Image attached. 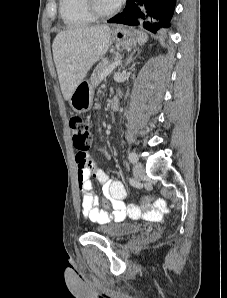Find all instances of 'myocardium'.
I'll use <instances>...</instances> for the list:
<instances>
[{
    "mask_svg": "<svg viewBox=\"0 0 227 298\" xmlns=\"http://www.w3.org/2000/svg\"><path fill=\"white\" fill-rule=\"evenodd\" d=\"M85 1H86V8L94 19L109 18L113 16L119 9V4H118L108 11H101L97 7L95 0H85Z\"/></svg>",
    "mask_w": 227,
    "mask_h": 298,
    "instance_id": "obj_1",
    "label": "myocardium"
}]
</instances>
